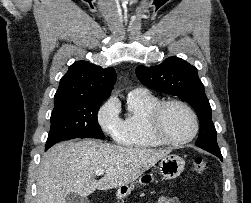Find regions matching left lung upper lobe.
Masks as SVG:
<instances>
[{"instance_id":"left-lung-upper-lobe-1","label":"left lung upper lobe","mask_w":251,"mask_h":203,"mask_svg":"<svg viewBox=\"0 0 251 203\" xmlns=\"http://www.w3.org/2000/svg\"><path fill=\"white\" fill-rule=\"evenodd\" d=\"M143 85L157 92L178 96L189 103L200 122V132L195 143L208 152H219L217 132L211 118V106L204 92L197 68L181 58L169 57L160 65L136 68Z\"/></svg>"}]
</instances>
